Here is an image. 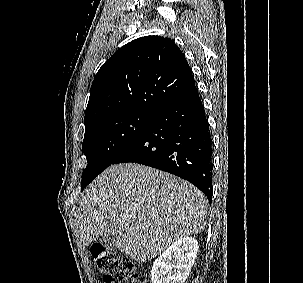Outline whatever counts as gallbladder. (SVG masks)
<instances>
[{
    "instance_id": "obj_1",
    "label": "gallbladder",
    "mask_w": 303,
    "mask_h": 283,
    "mask_svg": "<svg viewBox=\"0 0 303 283\" xmlns=\"http://www.w3.org/2000/svg\"><path fill=\"white\" fill-rule=\"evenodd\" d=\"M99 242L102 246H104L107 249L115 250L117 248L116 238L114 235H106L100 237Z\"/></svg>"
}]
</instances>
